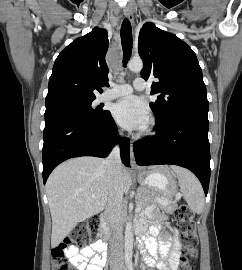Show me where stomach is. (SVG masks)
<instances>
[{
  "label": "stomach",
  "instance_id": "1",
  "mask_svg": "<svg viewBox=\"0 0 242 270\" xmlns=\"http://www.w3.org/2000/svg\"><path fill=\"white\" fill-rule=\"evenodd\" d=\"M142 188L163 196H171L176 191L174 174L167 167H154L138 175Z\"/></svg>",
  "mask_w": 242,
  "mask_h": 270
}]
</instances>
